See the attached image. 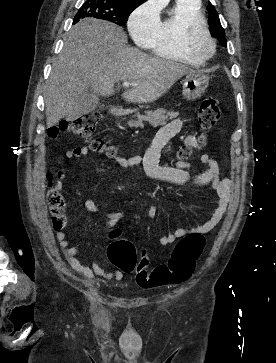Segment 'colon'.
Listing matches in <instances>:
<instances>
[{
    "instance_id": "5ec220e1",
    "label": "colon",
    "mask_w": 276,
    "mask_h": 363,
    "mask_svg": "<svg viewBox=\"0 0 276 363\" xmlns=\"http://www.w3.org/2000/svg\"><path fill=\"white\" fill-rule=\"evenodd\" d=\"M220 118L219 102L216 98L204 99L199 107L198 125L201 131L208 132L215 127ZM101 120L97 112H89L80 117L64 121L59 126L51 127L48 131L50 138H56L60 132H70L80 137L88 138L90 147L95 151H107L113 154V149L106 147L104 141L94 137V132ZM187 147L178 150V156L186 159L190 156ZM52 183L53 175L47 176ZM48 204L52 213V226L55 231H61L66 225L65 202L57 189L48 192ZM116 231L112 237H116ZM205 247V238L200 233H191L180 239L172 250L166 264L148 270L149 259L145 252L137 258L135 245L127 240H113L107 248L109 261L123 272H136V282L142 288L160 286H175L187 281L194 272L196 261Z\"/></svg>"
}]
</instances>
